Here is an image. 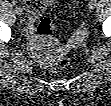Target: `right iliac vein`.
I'll list each match as a JSON object with an SVG mask.
<instances>
[{
    "label": "right iliac vein",
    "instance_id": "63e3f726",
    "mask_svg": "<svg viewBox=\"0 0 111 106\" xmlns=\"http://www.w3.org/2000/svg\"><path fill=\"white\" fill-rule=\"evenodd\" d=\"M15 12L18 16H22L23 15V9L21 7H16L15 8Z\"/></svg>",
    "mask_w": 111,
    "mask_h": 106
}]
</instances>
